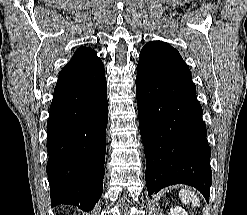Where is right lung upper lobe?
I'll return each mask as SVG.
<instances>
[{
	"label": "right lung upper lobe",
	"mask_w": 247,
	"mask_h": 215,
	"mask_svg": "<svg viewBox=\"0 0 247 215\" xmlns=\"http://www.w3.org/2000/svg\"><path fill=\"white\" fill-rule=\"evenodd\" d=\"M89 49H90V48L80 47V48L77 49V51H76L75 53L81 52V51H86V50H89Z\"/></svg>",
	"instance_id": "right-lung-upper-lobe-1"
}]
</instances>
